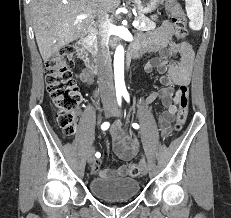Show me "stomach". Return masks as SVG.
<instances>
[{"label":"stomach","instance_id":"1","mask_svg":"<svg viewBox=\"0 0 231 218\" xmlns=\"http://www.w3.org/2000/svg\"><path fill=\"white\" fill-rule=\"evenodd\" d=\"M164 0H132L140 13H151L162 4Z\"/></svg>","mask_w":231,"mask_h":218}]
</instances>
